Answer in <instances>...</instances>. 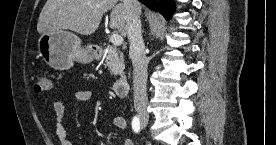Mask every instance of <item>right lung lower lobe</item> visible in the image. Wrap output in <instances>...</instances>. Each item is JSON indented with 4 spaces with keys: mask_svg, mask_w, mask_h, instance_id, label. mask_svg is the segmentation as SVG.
Returning a JSON list of instances; mask_svg holds the SVG:
<instances>
[{
    "mask_svg": "<svg viewBox=\"0 0 276 145\" xmlns=\"http://www.w3.org/2000/svg\"><path fill=\"white\" fill-rule=\"evenodd\" d=\"M147 7L161 13L167 20L171 18L175 7L174 0H139Z\"/></svg>",
    "mask_w": 276,
    "mask_h": 145,
    "instance_id": "1",
    "label": "right lung lower lobe"
}]
</instances>
